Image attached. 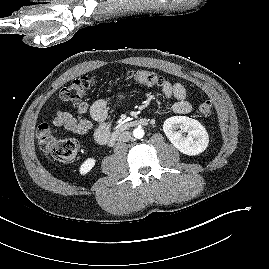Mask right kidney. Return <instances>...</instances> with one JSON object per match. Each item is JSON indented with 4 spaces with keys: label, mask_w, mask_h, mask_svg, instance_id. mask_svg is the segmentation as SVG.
Wrapping results in <instances>:
<instances>
[{
    "label": "right kidney",
    "mask_w": 269,
    "mask_h": 269,
    "mask_svg": "<svg viewBox=\"0 0 269 269\" xmlns=\"http://www.w3.org/2000/svg\"><path fill=\"white\" fill-rule=\"evenodd\" d=\"M96 160L94 158H87L80 167L81 174H87L94 166Z\"/></svg>",
    "instance_id": "obj_1"
}]
</instances>
